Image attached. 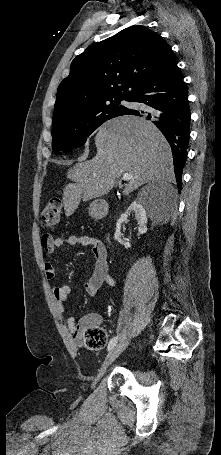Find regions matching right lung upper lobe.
Listing matches in <instances>:
<instances>
[{
    "label": "right lung upper lobe",
    "instance_id": "obj_1",
    "mask_svg": "<svg viewBox=\"0 0 221 455\" xmlns=\"http://www.w3.org/2000/svg\"><path fill=\"white\" fill-rule=\"evenodd\" d=\"M169 50L156 32L140 25L89 46L58 87L53 123L110 99L130 98Z\"/></svg>",
    "mask_w": 221,
    "mask_h": 455
}]
</instances>
